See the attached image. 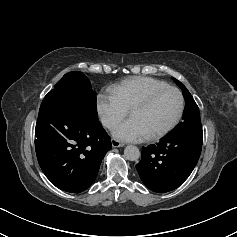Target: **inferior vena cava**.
I'll return each mask as SVG.
<instances>
[{
    "label": "inferior vena cava",
    "mask_w": 237,
    "mask_h": 237,
    "mask_svg": "<svg viewBox=\"0 0 237 237\" xmlns=\"http://www.w3.org/2000/svg\"><path fill=\"white\" fill-rule=\"evenodd\" d=\"M113 121L112 120H109V119H105V120H103V124H104V126H106V127H111L112 125H113Z\"/></svg>",
    "instance_id": "obj_1"
}]
</instances>
